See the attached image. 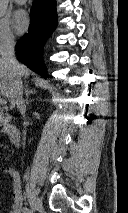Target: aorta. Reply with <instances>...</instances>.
Listing matches in <instances>:
<instances>
[{"label": "aorta", "instance_id": "aorta-1", "mask_svg": "<svg viewBox=\"0 0 128 213\" xmlns=\"http://www.w3.org/2000/svg\"><path fill=\"white\" fill-rule=\"evenodd\" d=\"M8 6V0H0V16L4 15Z\"/></svg>", "mask_w": 128, "mask_h": 213}]
</instances>
